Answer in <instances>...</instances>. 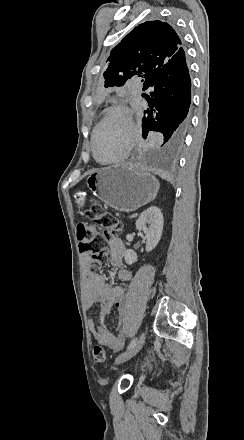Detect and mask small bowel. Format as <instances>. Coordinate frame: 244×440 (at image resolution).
I'll return each instance as SVG.
<instances>
[{"label": "small bowel", "mask_w": 244, "mask_h": 440, "mask_svg": "<svg viewBox=\"0 0 244 440\" xmlns=\"http://www.w3.org/2000/svg\"><path fill=\"white\" fill-rule=\"evenodd\" d=\"M126 248L118 236H112L108 241V261L116 270L117 278L124 282H130L131 273L123 268ZM85 267V297L89 308L94 305L99 306L100 314L97 322L89 320V329L93 338L100 344L113 351H120L125 344V336L121 330L118 334L112 333L104 324L105 317L109 314L111 308L115 306L122 315L128 313L130 309L127 300L126 289L123 285L107 283L104 278L90 268L91 255L85 253L82 256ZM121 327V321L119 322Z\"/></svg>", "instance_id": "small-bowel-1"}]
</instances>
